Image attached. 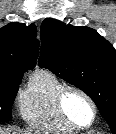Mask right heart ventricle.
Listing matches in <instances>:
<instances>
[{
    "instance_id": "e07e8e85",
    "label": "right heart ventricle",
    "mask_w": 116,
    "mask_h": 134,
    "mask_svg": "<svg viewBox=\"0 0 116 134\" xmlns=\"http://www.w3.org/2000/svg\"><path fill=\"white\" fill-rule=\"evenodd\" d=\"M64 86L60 79L48 70H37L18 98L22 119L30 126L57 133H71L75 128L59 115L56 95Z\"/></svg>"
}]
</instances>
